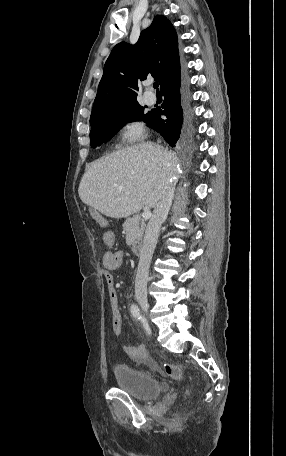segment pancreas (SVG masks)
Instances as JSON below:
<instances>
[{
	"label": "pancreas",
	"mask_w": 286,
	"mask_h": 456,
	"mask_svg": "<svg viewBox=\"0 0 286 456\" xmlns=\"http://www.w3.org/2000/svg\"><path fill=\"white\" fill-rule=\"evenodd\" d=\"M123 229L126 233V244L133 246L142 241L145 222L136 215L134 217L126 219L123 223Z\"/></svg>",
	"instance_id": "cf45deb5"
}]
</instances>
